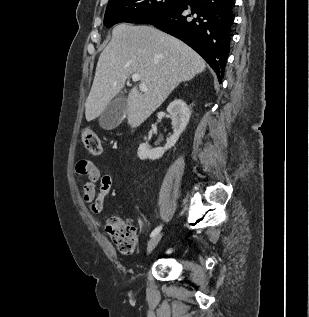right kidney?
Wrapping results in <instances>:
<instances>
[{"instance_id":"1","label":"right kidney","mask_w":309,"mask_h":317,"mask_svg":"<svg viewBox=\"0 0 309 317\" xmlns=\"http://www.w3.org/2000/svg\"><path fill=\"white\" fill-rule=\"evenodd\" d=\"M167 112L171 116L173 135L168 138L167 143L164 147L150 149L147 144H140L137 154L141 160H156L161 158L167 150H169L176 144L180 135L188 125L191 111L183 100L176 99L171 102L167 107Z\"/></svg>"}]
</instances>
